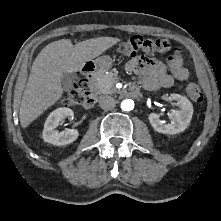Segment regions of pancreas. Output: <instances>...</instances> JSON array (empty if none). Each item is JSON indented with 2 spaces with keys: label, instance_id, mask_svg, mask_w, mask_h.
Returning <instances> with one entry per match:
<instances>
[{
  "label": "pancreas",
  "instance_id": "pancreas-1",
  "mask_svg": "<svg viewBox=\"0 0 221 221\" xmlns=\"http://www.w3.org/2000/svg\"><path fill=\"white\" fill-rule=\"evenodd\" d=\"M115 78L113 73L103 74L100 73L97 75L94 82L91 84V90L96 95L98 94H112L116 91L114 87Z\"/></svg>",
  "mask_w": 221,
  "mask_h": 221
}]
</instances>
